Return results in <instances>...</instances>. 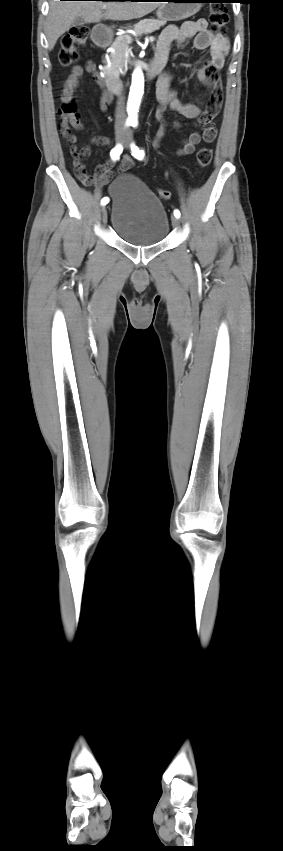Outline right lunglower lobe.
I'll return each instance as SVG.
<instances>
[{
    "mask_svg": "<svg viewBox=\"0 0 283 851\" xmlns=\"http://www.w3.org/2000/svg\"><path fill=\"white\" fill-rule=\"evenodd\" d=\"M110 1H140V0H110Z\"/></svg>",
    "mask_w": 283,
    "mask_h": 851,
    "instance_id": "1",
    "label": "right lung lower lobe"
}]
</instances>
